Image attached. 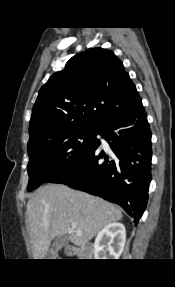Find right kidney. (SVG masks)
<instances>
[{
  "label": "right kidney",
  "instance_id": "ca27d5eb",
  "mask_svg": "<svg viewBox=\"0 0 175 287\" xmlns=\"http://www.w3.org/2000/svg\"><path fill=\"white\" fill-rule=\"evenodd\" d=\"M125 241L126 231L123 224L114 222L106 225L95 238V259H119Z\"/></svg>",
  "mask_w": 175,
  "mask_h": 287
}]
</instances>
